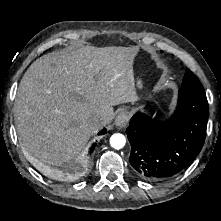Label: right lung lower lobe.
I'll use <instances>...</instances> for the list:
<instances>
[{
  "label": "right lung lower lobe",
  "instance_id": "right-lung-lower-lobe-1",
  "mask_svg": "<svg viewBox=\"0 0 221 221\" xmlns=\"http://www.w3.org/2000/svg\"><path fill=\"white\" fill-rule=\"evenodd\" d=\"M106 132H107V130L103 129L98 133V135H103ZM95 146H96V143H94L92 145V147L90 148V153L94 150ZM85 163H86V161L81 163L78 167H75V168H68V169H64V170H52V171H50V173L55 178H57L59 180L69 181V180L74 179L80 175L81 170L84 169Z\"/></svg>",
  "mask_w": 221,
  "mask_h": 221
}]
</instances>
